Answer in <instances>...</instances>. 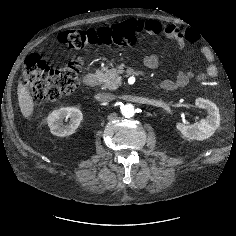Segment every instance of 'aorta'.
Segmentation results:
<instances>
[{"label": "aorta", "mask_w": 236, "mask_h": 236, "mask_svg": "<svg viewBox=\"0 0 236 236\" xmlns=\"http://www.w3.org/2000/svg\"><path fill=\"white\" fill-rule=\"evenodd\" d=\"M121 114L125 118H131L135 114V107L132 104H125L121 107Z\"/></svg>", "instance_id": "1"}]
</instances>
